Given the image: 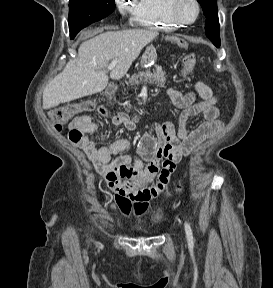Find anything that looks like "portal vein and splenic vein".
I'll return each instance as SVG.
<instances>
[{
    "label": "portal vein and splenic vein",
    "instance_id": "1",
    "mask_svg": "<svg viewBox=\"0 0 273 288\" xmlns=\"http://www.w3.org/2000/svg\"><path fill=\"white\" fill-rule=\"evenodd\" d=\"M116 64H117V60H116V59H113V60L111 61V63L107 66V70L113 69V68L116 66Z\"/></svg>",
    "mask_w": 273,
    "mask_h": 288
}]
</instances>
